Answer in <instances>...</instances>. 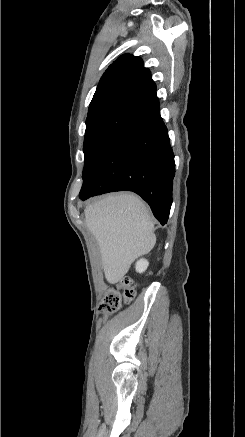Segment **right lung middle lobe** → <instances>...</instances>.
I'll list each match as a JSON object with an SVG mask.
<instances>
[{
    "label": "right lung middle lobe",
    "mask_w": 245,
    "mask_h": 437,
    "mask_svg": "<svg viewBox=\"0 0 245 437\" xmlns=\"http://www.w3.org/2000/svg\"><path fill=\"white\" fill-rule=\"evenodd\" d=\"M143 111L122 103L101 105L88 111L84 138L83 181L96 168L118 135Z\"/></svg>",
    "instance_id": "right-lung-middle-lobe-1"
}]
</instances>
